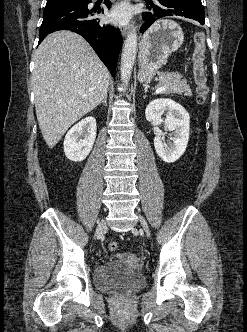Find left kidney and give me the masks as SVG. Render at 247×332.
<instances>
[{"instance_id": "5707ae66", "label": "left kidney", "mask_w": 247, "mask_h": 332, "mask_svg": "<svg viewBox=\"0 0 247 332\" xmlns=\"http://www.w3.org/2000/svg\"><path fill=\"white\" fill-rule=\"evenodd\" d=\"M166 112L164 124L170 134L171 142L166 144L164 133H156L154 147L158 156L167 163L177 161L185 152L189 140L190 116L183 106L171 99H155L145 110L147 121L160 123L161 115ZM173 135V136H171Z\"/></svg>"}]
</instances>
